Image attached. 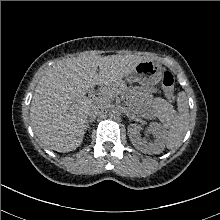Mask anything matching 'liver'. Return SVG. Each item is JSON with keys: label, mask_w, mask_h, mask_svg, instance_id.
<instances>
[{"label": "liver", "mask_w": 220, "mask_h": 220, "mask_svg": "<svg viewBox=\"0 0 220 220\" xmlns=\"http://www.w3.org/2000/svg\"><path fill=\"white\" fill-rule=\"evenodd\" d=\"M144 58L136 55H84L59 61L38 82L30 107L32 128L52 150L70 152L81 145L89 111L104 105L103 95L118 92L121 80ZM99 67V73L98 71ZM99 85V97H86Z\"/></svg>", "instance_id": "liver-1"}]
</instances>
